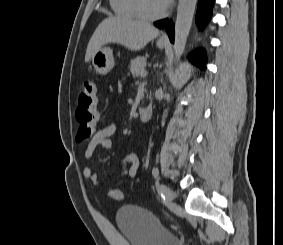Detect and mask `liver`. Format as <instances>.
Here are the masks:
<instances>
[{"mask_svg": "<svg viewBox=\"0 0 283 245\" xmlns=\"http://www.w3.org/2000/svg\"><path fill=\"white\" fill-rule=\"evenodd\" d=\"M158 35V29L149 23L123 17L107 18L99 24L91 37L85 62H89L103 45L116 43L131 51H139Z\"/></svg>", "mask_w": 283, "mask_h": 245, "instance_id": "obj_1", "label": "liver"}]
</instances>
